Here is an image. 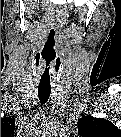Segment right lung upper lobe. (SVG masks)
I'll return each instance as SVG.
<instances>
[{
	"label": "right lung upper lobe",
	"mask_w": 121,
	"mask_h": 137,
	"mask_svg": "<svg viewBox=\"0 0 121 137\" xmlns=\"http://www.w3.org/2000/svg\"><path fill=\"white\" fill-rule=\"evenodd\" d=\"M15 130V120L11 117L1 119V135L13 134Z\"/></svg>",
	"instance_id": "obj_1"
}]
</instances>
